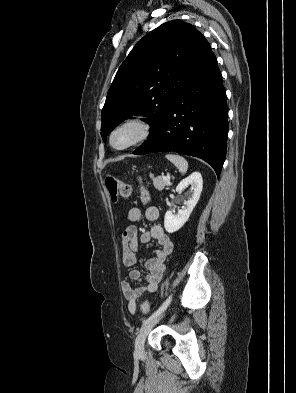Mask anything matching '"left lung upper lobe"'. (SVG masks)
Returning <instances> with one entry per match:
<instances>
[{
  "instance_id": "5c2ea615",
  "label": "left lung upper lobe",
  "mask_w": 296,
  "mask_h": 393,
  "mask_svg": "<svg viewBox=\"0 0 296 393\" xmlns=\"http://www.w3.org/2000/svg\"><path fill=\"white\" fill-rule=\"evenodd\" d=\"M205 37L182 20L166 22L144 36L120 66L101 113V136L131 115L147 116L150 136L212 54Z\"/></svg>"
}]
</instances>
